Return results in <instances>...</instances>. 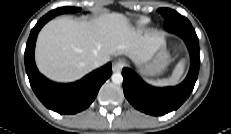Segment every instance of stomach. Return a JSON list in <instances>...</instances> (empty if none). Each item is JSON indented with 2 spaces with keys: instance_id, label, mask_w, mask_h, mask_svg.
Segmentation results:
<instances>
[{
  "instance_id": "0dacf381",
  "label": "stomach",
  "mask_w": 231,
  "mask_h": 134,
  "mask_svg": "<svg viewBox=\"0 0 231 134\" xmlns=\"http://www.w3.org/2000/svg\"><path fill=\"white\" fill-rule=\"evenodd\" d=\"M169 63L170 55L166 49L165 42L158 47L150 58L134 62L139 72L145 77L160 75L167 68Z\"/></svg>"
}]
</instances>
